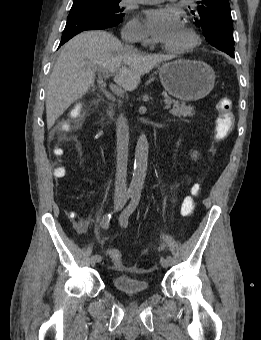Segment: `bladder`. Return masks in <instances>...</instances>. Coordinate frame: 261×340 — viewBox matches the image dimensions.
Returning <instances> with one entry per match:
<instances>
[{"label":"bladder","instance_id":"bladder-1","mask_svg":"<svg viewBox=\"0 0 261 340\" xmlns=\"http://www.w3.org/2000/svg\"><path fill=\"white\" fill-rule=\"evenodd\" d=\"M115 289L124 295H143L149 291L148 283L138 277L130 275H119L113 278Z\"/></svg>","mask_w":261,"mask_h":340}]
</instances>
